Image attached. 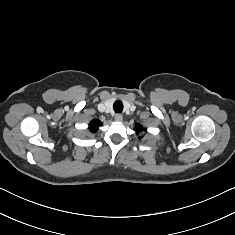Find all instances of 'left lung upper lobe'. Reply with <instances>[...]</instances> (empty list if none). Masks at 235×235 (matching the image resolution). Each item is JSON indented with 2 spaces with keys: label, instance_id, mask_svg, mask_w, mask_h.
Returning a JSON list of instances; mask_svg holds the SVG:
<instances>
[{
  "label": "left lung upper lobe",
  "instance_id": "obj_1",
  "mask_svg": "<svg viewBox=\"0 0 235 235\" xmlns=\"http://www.w3.org/2000/svg\"><path fill=\"white\" fill-rule=\"evenodd\" d=\"M142 129L143 128L141 127L140 124H136V128L134 130L137 132L138 130H142Z\"/></svg>",
  "mask_w": 235,
  "mask_h": 235
}]
</instances>
